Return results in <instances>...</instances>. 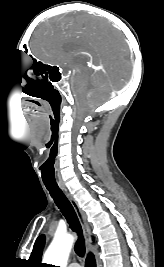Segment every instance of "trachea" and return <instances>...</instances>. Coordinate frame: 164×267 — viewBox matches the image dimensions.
I'll list each match as a JSON object with an SVG mask.
<instances>
[{
  "instance_id": "3493384b",
  "label": "trachea",
  "mask_w": 164,
  "mask_h": 267,
  "mask_svg": "<svg viewBox=\"0 0 164 267\" xmlns=\"http://www.w3.org/2000/svg\"><path fill=\"white\" fill-rule=\"evenodd\" d=\"M46 188L48 189L57 207L60 209V211L66 218L72 231H74L78 235V239L74 247L76 254L81 258L84 257L85 242L82 234L81 225L73 206L59 187L46 186Z\"/></svg>"
}]
</instances>
